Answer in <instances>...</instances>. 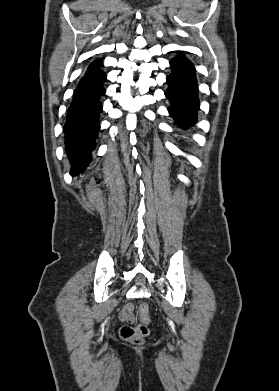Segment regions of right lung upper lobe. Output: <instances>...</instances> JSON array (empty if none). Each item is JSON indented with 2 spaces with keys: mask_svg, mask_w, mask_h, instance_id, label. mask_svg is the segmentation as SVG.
Here are the masks:
<instances>
[{
  "mask_svg": "<svg viewBox=\"0 0 279 391\" xmlns=\"http://www.w3.org/2000/svg\"><path fill=\"white\" fill-rule=\"evenodd\" d=\"M100 67H102L101 60L94 61L89 65L86 75L99 71Z\"/></svg>",
  "mask_w": 279,
  "mask_h": 391,
  "instance_id": "obj_1",
  "label": "right lung upper lobe"
}]
</instances>
